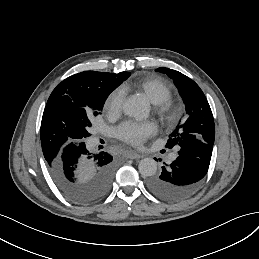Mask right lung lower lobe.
<instances>
[{"label": "right lung lower lobe", "mask_w": 259, "mask_h": 259, "mask_svg": "<svg viewBox=\"0 0 259 259\" xmlns=\"http://www.w3.org/2000/svg\"><path fill=\"white\" fill-rule=\"evenodd\" d=\"M47 166L58 189L83 205L102 199L110 190L115 174L112 156L104 151H89L85 142L67 145Z\"/></svg>", "instance_id": "98d812e1"}]
</instances>
